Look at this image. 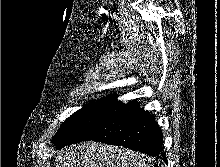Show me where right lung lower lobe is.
Listing matches in <instances>:
<instances>
[{
  "instance_id": "1",
  "label": "right lung lower lobe",
  "mask_w": 220,
  "mask_h": 167,
  "mask_svg": "<svg viewBox=\"0 0 220 167\" xmlns=\"http://www.w3.org/2000/svg\"><path fill=\"white\" fill-rule=\"evenodd\" d=\"M139 106L137 101L126 104L115 101L106 117L83 141L119 145L167 162L155 117Z\"/></svg>"
}]
</instances>
